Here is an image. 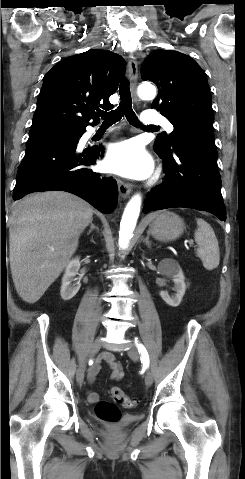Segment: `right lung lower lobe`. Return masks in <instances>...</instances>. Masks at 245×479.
<instances>
[{
    "instance_id": "right-lung-lower-lobe-1",
    "label": "right lung lower lobe",
    "mask_w": 245,
    "mask_h": 479,
    "mask_svg": "<svg viewBox=\"0 0 245 479\" xmlns=\"http://www.w3.org/2000/svg\"><path fill=\"white\" fill-rule=\"evenodd\" d=\"M85 131L86 128L28 146L18 168L13 199L19 200L32 192L63 190L83 198L103 213H112L118 201L117 182L88 168L95 164L102 147L79 152L77 144Z\"/></svg>"
}]
</instances>
